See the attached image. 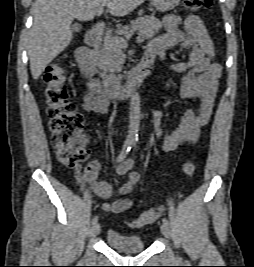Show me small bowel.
<instances>
[{"label":"small bowel","instance_id":"small-bowel-1","mask_svg":"<svg viewBox=\"0 0 254 267\" xmlns=\"http://www.w3.org/2000/svg\"><path fill=\"white\" fill-rule=\"evenodd\" d=\"M166 32L149 42L145 56L153 60L158 57L166 61V51L180 45L190 50L187 62L172 63L170 69L184 74L181 79L180 94L184 98H196L199 100L195 110L186 111L177 127L164 135L161 112L154 114L151 123L157 137H163V150L173 151L183 143L194 144L202 130L210 120L217 93L218 79L221 74L220 64L213 61L215 51L213 42L202 20L197 15H168L164 18ZM98 80H89L87 90L82 96V107L87 112L100 114L109 113V101L99 95L95 87ZM133 166L132 159L128 158L118 165L116 173L125 175ZM99 163L91 161L80 173L76 169V177L79 184H88L94 193L109 199L113 194L112 187L105 181L97 180ZM140 182V174L131 171L128 180L119 188L122 195H128L136 189ZM132 206L129 198L117 199L112 203H102L100 208L104 212L123 213Z\"/></svg>","mask_w":254,"mask_h":267}]
</instances>
